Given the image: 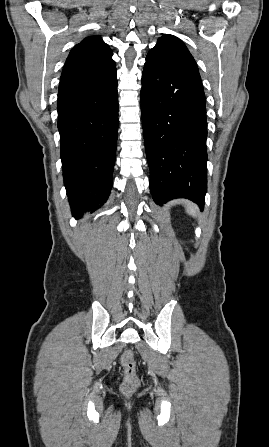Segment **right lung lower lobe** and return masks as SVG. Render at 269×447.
<instances>
[{
    "label": "right lung lower lobe",
    "mask_w": 269,
    "mask_h": 447,
    "mask_svg": "<svg viewBox=\"0 0 269 447\" xmlns=\"http://www.w3.org/2000/svg\"><path fill=\"white\" fill-rule=\"evenodd\" d=\"M57 109L64 184L77 216L99 208L112 188L118 131L116 65L61 79Z\"/></svg>",
    "instance_id": "1"
}]
</instances>
